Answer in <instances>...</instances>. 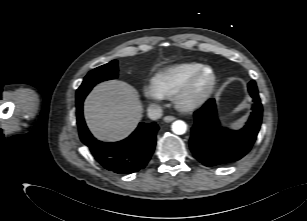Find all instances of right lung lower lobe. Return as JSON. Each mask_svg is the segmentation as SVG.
<instances>
[{
    "mask_svg": "<svg viewBox=\"0 0 307 221\" xmlns=\"http://www.w3.org/2000/svg\"><path fill=\"white\" fill-rule=\"evenodd\" d=\"M77 124L81 141L89 148L96 161L105 169L117 174H130L143 169L156 145L158 125L140 123L126 139L119 142L98 141L88 130L83 118V101L77 103Z\"/></svg>",
    "mask_w": 307,
    "mask_h": 221,
    "instance_id": "right-lung-lower-lobe-1",
    "label": "right lung lower lobe"
}]
</instances>
